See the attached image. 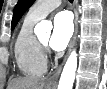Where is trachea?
<instances>
[{
    "mask_svg": "<svg viewBox=\"0 0 107 89\" xmlns=\"http://www.w3.org/2000/svg\"><path fill=\"white\" fill-rule=\"evenodd\" d=\"M70 3H73V0H69Z\"/></svg>",
    "mask_w": 107,
    "mask_h": 89,
    "instance_id": "3493384b",
    "label": "trachea"
}]
</instances>
